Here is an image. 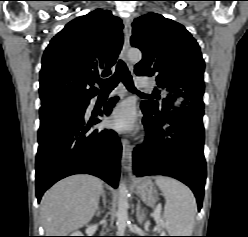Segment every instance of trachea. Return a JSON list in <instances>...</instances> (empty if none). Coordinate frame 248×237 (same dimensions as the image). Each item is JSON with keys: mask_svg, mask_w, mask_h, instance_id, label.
I'll return each instance as SVG.
<instances>
[{"mask_svg": "<svg viewBox=\"0 0 248 237\" xmlns=\"http://www.w3.org/2000/svg\"><path fill=\"white\" fill-rule=\"evenodd\" d=\"M120 81L123 82L129 91L137 92L136 88L134 87L130 72L122 60L118 61L116 72L110 78L97 80L96 82L100 85L101 92H108L113 90Z\"/></svg>", "mask_w": 248, "mask_h": 237, "instance_id": "3493384b", "label": "trachea"}]
</instances>
